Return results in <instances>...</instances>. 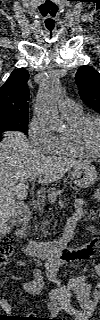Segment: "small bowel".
I'll return each mask as SVG.
<instances>
[{
	"instance_id": "c3829d8e",
	"label": "small bowel",
	"mask_w": 100,
	"mask_h": 320,
	"mask_svg": "<svg viewBox=\"0 0 100 320\" xmlns=\"http://www.w3.org/2000/svg\"><path fill=\"white\" fill-rule=\"evenodd\" d=\"M95 197L97 198L98 194ZM85 204L86 200L84 198L75 200L76 213L80 218L86 214ZM86 248L88 247L81 246L74 248L72 251L81 253ZM47 268L48 280L57 284V288L51 291L48 302V310L51 315L56 316L63 311L73 316L75 320H89L100 300V285L94 292L87 274L74 276L69 279L67 284L62 285L56 276L58 266L50 263ZM95 271L100 276V265L95 267ZM43 287L44 279L39 270H35L33 278L23 284V289L31 295L39 294ZM0 307L6 314H10L12 311L11 304L4 298L0 300Z\"/></svg>"
}]
</instances>
